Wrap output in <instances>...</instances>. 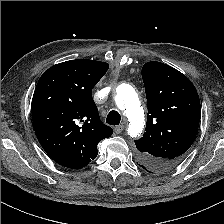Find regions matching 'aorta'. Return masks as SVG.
<instances>
[{
    "instance_id": "1",
    "label": "aorta",
    "mask_w": 224,
    "mask_h": 224,
    "mask_svg": "<svg viewBox=\"0 0 224 224\" xmlns=\"http://www.w3.org/2000/svg\"><path fill=\"white\" fill-rule=\"evenodd\" d=\"M115 102L128 118V135L137 137L144 127V112L134 88L129 84H121L116 88Z\"/></svg>"
}]
</instances>
